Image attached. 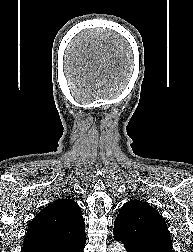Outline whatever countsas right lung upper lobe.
Wrapping results in <instances>:
<instances>
[{"label":"right lung upper lobe","instance_id":"1","mask_svg":"<svg viewBox=\"0 0 193 252\" xmlns=\"http://www.w3.org/2000/svg\"><path fill=\"white\" fill-rule=\"evenodd\" d=\"M85 239L79 205L70 199H58L32 220L22 252H63Z\"/></svg>","mask_w":193,"mask_h":252}]
</instances>
